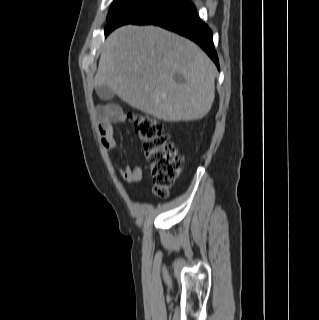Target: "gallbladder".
<instances>
[{
    "mask_svg": "<svg viewBox=\"0 0 319 320\" xmlns=\"http://www.w3.org/2000/svg\"><path fill=\"white\" fill-rule=\"evenodd\" d=\"M96 91H97L98 96L102 100L108 101L115 96V93L112 91V89L106 85L97 86Z\"/></svg>",
    "mask_w": 319,
    "mask_h": 320,
    "instance_id": "1",
    "label": "gallbladder"
}]
</instances>
